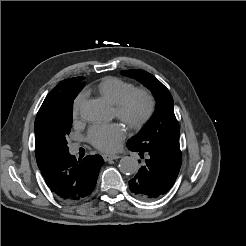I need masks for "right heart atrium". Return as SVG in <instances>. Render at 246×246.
I'll return each mask as SVG.
<instances>
[{
	"instance_id": "right-heart-atrium-1",
	"label": "right heart atrium",
	"mask_w": 246,
	"mask_h": 246,
	"mask_svg": "<svg viewBox=\"0 0 246 246\" xmlns=\"http://www.w3.org/2000/svg\"><path fill=\"white\" fill-rule=\"evenodd\" d=\"M84 100H85L84 93H80L75 97L72 106V112L74 118H77L79 116Z\"/></svg>"
}]
</instances>
